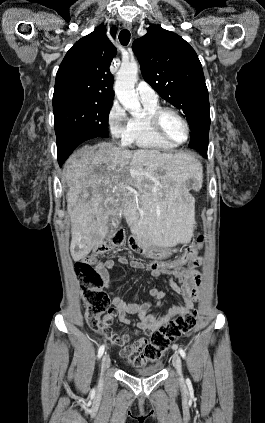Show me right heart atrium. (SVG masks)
<instances>
[{
  "instance_id": "d8ad5b80",
  "label": "right heart atrium",
  "mask_w": 265,
  "mask_h": 423,
  "mask_svg": "<svg viewBox=\"0 0 265 423\" xmlns=\"http://www.w3.org/2000/svg\"><path fill=\"white\" fill-rule=\"evenodd\" d=\"M128 117L121 104L114 100L107 113V125L114 139H123Z\"/></svg>"
}]
</instances>
